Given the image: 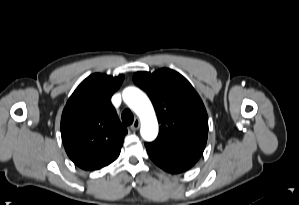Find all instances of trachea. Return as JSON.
<instances>
[{"label": "trachea", "instance_id": "3493384b", "mask_svg": "<svg viewBox=\"0 0 299 205\" xmlns=\"http://www.w3.org/2000/svg\"><path fill=\"white\" fill-rule=\"evenodd\" d=\"M122 121L124 125H131L134 121V116L129 109H125L121 115Z\"/></svg>", "mask_w": 299, "mask_h": 205}]
</instances>
